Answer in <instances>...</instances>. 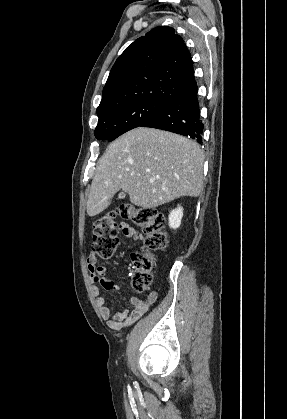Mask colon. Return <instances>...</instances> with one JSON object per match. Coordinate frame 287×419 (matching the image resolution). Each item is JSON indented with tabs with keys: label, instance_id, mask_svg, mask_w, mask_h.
<instances>
[{
	"label": "colon",
	"instance_id": "obj_1",
	"mask_svg": "<svg viewBox=\"0 0 287 419\" xmlns=\"http://www.w3.org/2000/svg\"><path fill=\"white\" fill-rule=\"evenodd\" d=\"M117 216L131 221L145 234L143 251L131 254L135 268L133 288L141 293L146 291L152 283L155 261L150 252L164 249L168 243L163 231L165 218L163 213L155 208L137 207L131 204H123L117 210L102 214L94 222L92 241L93 253L102 259H110L117 249Z\"/></svg>",
	"mask_w": 287,
	"mask_h": 419
}]
</instances>
